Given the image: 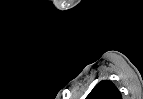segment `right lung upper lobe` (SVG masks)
<instances>
[{"label": "right lung upper lobe", "mask_w": 143, "mask_h": 99, "mask_svg": "<svg viewBox=\"0 0 143 99\" xmlns=\"http://www.w3.org/2000/svg\"><path fill=\"white\" fill-rule=\"evenodd\" d=\"M86 99H122V96L112 81L102 80L93 88Z\"/></svg>", "instance_id": "cb5924a9"}]
</instances>
